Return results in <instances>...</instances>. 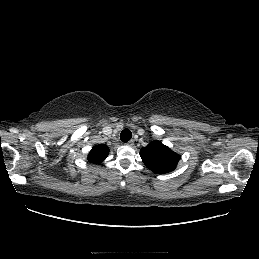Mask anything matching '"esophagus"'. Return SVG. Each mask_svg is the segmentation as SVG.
Here are the masks:
<instances>
[{
	"instance_id": "1",
	"label": "esophagus",
	"mask_w": 259,
	"mask_h": 259,
	"mask_svg": "<svg viewBox=\"0 0 259 259\" xmlns=\"http://www.w3.org/2000/svg\"><path fill=\"white\" fill-rule=\"evenodd\" d=\"M128 146H133L134 145V141L130 140L129 142L126 143Z\"/></svg>"
}]
</instances>
